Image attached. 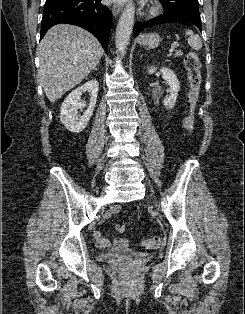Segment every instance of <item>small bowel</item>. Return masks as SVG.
<instances>
[{"instance_id":"small-bowel-1","label":"small bowel","mask_w":245,"mask_h":314,"mask_svg":"<svg viewBox=\"0 0 245 314\" xmlns=\"http://www.w3.org/2000/svg\"><path fill=\"white\" fill-rule=\"evenodd\" d=\"M119 211V207L118 206H113L111 207V210L106 212L104 215H103V218L104 219H108L110 218L113 214L117 213ZM117 230L120 231V232H123L124 231V226L123 225H117ZM95 239L97 240V242L101 245V246H108L110 245V240L104 238L101 234L100 231H95L93 233ZM113 243L115 245H118V246H126L127 243H128V239L126 237H117L113 240Z\"/></svg>"}]
</instances>
